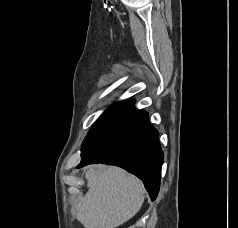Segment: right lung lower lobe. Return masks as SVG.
I'll use <instances>...</instances> for the list:
<instances>
[{"instance_id":"obj_1","label":"right lung lower lobe","mask_w":238,"mask_h":228,"mask_svg":"<svg viewBox=\"0 0 238 228\" xmlns=\"http://www.w3.org/2000/svg\"><path fill=\"white\" fill-rule=\"evenodd\" d=\"M158 136V131L148 122V113L133 110L111 122L82 146L77 168L92 163L122 167L140 178L155 200L164 159Z\"/></svg>"}]
</instances>
